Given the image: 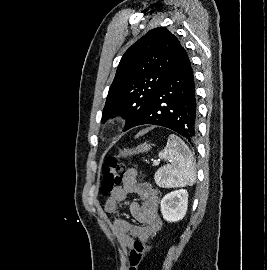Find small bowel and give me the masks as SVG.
Wrapping results in <instances>:
<instances>
[{
	"instance_id": "obj_1",
	"label": "small bowel",
	"mask_w": 267,
	"mask_h": 270,
	"mask_svg": "<svg viewBox=\"0 0 267 270\" xmlns=\"http://www.w3.org/2000/svg\"><path fill=\"white\" fill-rule=\"evenodd\" d=\"M137 172L129 169L123 178L122 185L115 189L105 202L108 213H118L124 208L129 195H136L140 202H131L128 209L139 224H133L122 217L112 220V229L119 243L131 250L137 240L147 243L161 228L158 214L160 199L157 191L147 182H138Z\"/></svg>"
}]
</instances>
